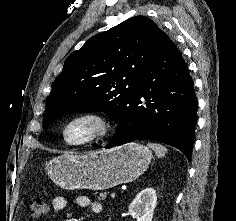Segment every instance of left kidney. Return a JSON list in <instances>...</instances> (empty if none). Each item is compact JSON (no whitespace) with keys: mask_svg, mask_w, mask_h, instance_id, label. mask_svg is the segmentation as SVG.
I'll return each mask as SVG.
<instances>
[{"mask_svg":"<svg viewBox=\"0 0 236 221\" xmlns=\"http://www.w3.org/2000/svg\"><path fill=\"white\" fill-rule=\"evenodd\" d=\"M156 203V191L153 188H145L136 195L130 204L129 213L137 221H152Z\"/></svg>","mask_w":236,"mask_h":221,"instance_id":"obj_1","label":"left kidney"}]
</instances>
